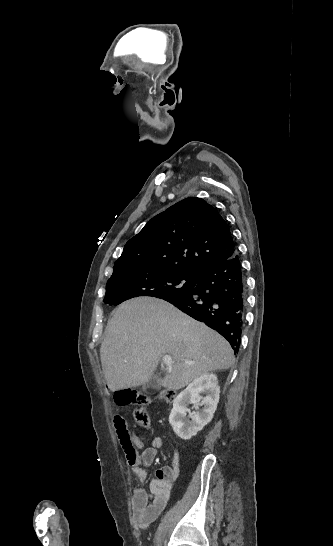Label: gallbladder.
I'll list each match as a JSON object with an SVG mask.
<instances>
[{
	"label": "gallbladder",
	"mask_w": 333,
	"mask_h": 546,
	"mask_svg": "<svg viewBox=\"0 0 333 546\" xmlns=\"http://www.w3.org/2000/svg\"><path fill=\"white\" fill-rule=\"evenodd\" d=\"M160 385L161 384H160L159 378L156 377V376H153V377H151V379L147 383H145L143 385V390L144 391H149V392L150 391H155V390H158L160 388Z\"/></svg>",
	"instance_id": "1"
}]
</instances>
